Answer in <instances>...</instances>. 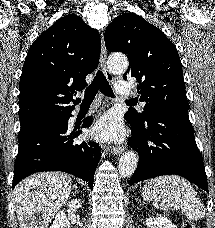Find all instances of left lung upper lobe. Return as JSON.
<instances>
[{
	"instance_id": "5c2ea615",
	"label": "left lung upper lobe",
	"mask_w": 215,
	"mask_h": 228,
	"mask_svg": "<svg viewBox=\"0 0 215 228\" xmlns=\"http://www.w3.org/2000/svg\"><path fill=\"white\" fill-rule=\"evenodd\" d=\"M109 52L120 51L129 59L123 79H136L144 111L129 110L126 120L145 123L149 114L164 110H189L181 61L176 47L155 26L134 13L117 16L105 30Z\"/></svg>"
}]
</instances>
